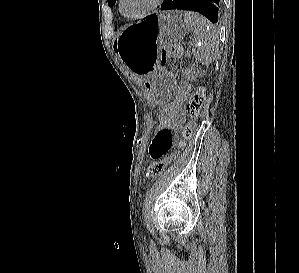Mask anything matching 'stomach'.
<instances>
[{"mask_svg":"<svg viewBox=\"0 0 299 273\" xmlns=\"http://www.w3.org/2000/svg\"><path fill=\"white\" fill-rule=\"evenodd\" d=\"M189 32L181 11L154 13L145 20L129 25L115 43L121 61L141 75L143 88L152 102L168 101L173 90V77L161 69L163 44L180 41Z\"/></svg>","mask_w":299,"mask_h":273,"instance_id":"1","label":"stomach"}]
</instances>
